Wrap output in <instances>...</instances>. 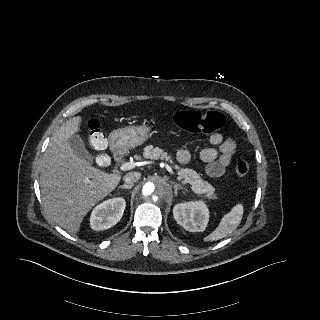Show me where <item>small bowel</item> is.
<instances>
[{
    "label": "small bowel",
    "instance_id": "obj_1",
    "mask_svg": "<svg viewBox=\"0 0 320 320\" xmlns=\"http://www.w3.org/2000/svg\"><path fill=\"white\" fill-rule=\"evenodd\" d=\"M211 147L200 151L199 157L206 164V173L212 178L224 175L237 151L234 139L224 138L221 133H213L209 137ZM191 159V153L187 149H181L177 153L180 164H187Z\"/></svg>",
    "mask_w": 320,
    "mask_h": 320
}]
</instances>
